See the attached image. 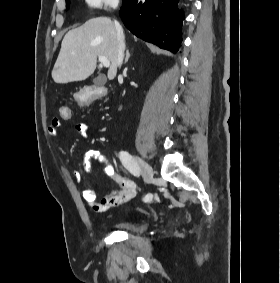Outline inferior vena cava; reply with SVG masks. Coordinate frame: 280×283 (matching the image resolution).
Returning <instances> with one entry per match:
<instances>
[{
  "mask_svg": "<svg viewBox=\"0 0 280 283\" xmlns=\"http://www.w3.org/2000/svg\"><path fill=\"white\" fill-rule=\"evenodd\" d=\"M116 33H117V41H118V49H117V64L121 67L124 58V51H125V41H124V34L123 29L118 21H114Z\"/></svg>",
  "mask_w": 280,
  "mask_h": 283,
  "instance_id": "1",
  "label": "inferior vena cava"
}]
</instances>
